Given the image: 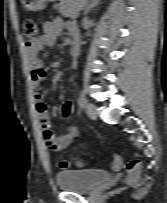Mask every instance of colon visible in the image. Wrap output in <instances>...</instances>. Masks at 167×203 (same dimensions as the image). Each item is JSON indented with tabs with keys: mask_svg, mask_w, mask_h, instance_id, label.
Returning <instances> with one entry per match:
<instances>
[{
	"mask_svg": "<svg viewBox=\"0 0 167 203\" xmlns=\"http://www.w3.org/2000/svg\"><path fill=\"white\" fill-rule=\"evenodd\" d=\"M23 34L26 38L27 44L34 41L39 36V25L34 19H26L23 22ZM75 164L80 165L82 164L81 161H76ZM121 165V158L120 156H116L115 166ZM71 163L68 160H61L59 162V167L63 170L70 168ZM141 171V162L138 159L132 160L126 166V173L127 177L126 180L128 183H134L140 174Z\"/></svg>",
	"mask_w": 167,
	"mask_h": 203,
	"instance_id": "1",
	"label": "colon"
}]
</instances>
